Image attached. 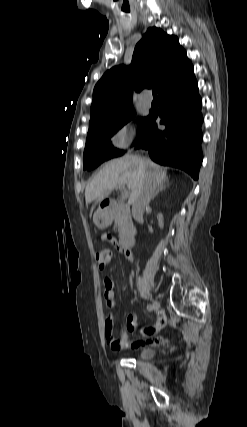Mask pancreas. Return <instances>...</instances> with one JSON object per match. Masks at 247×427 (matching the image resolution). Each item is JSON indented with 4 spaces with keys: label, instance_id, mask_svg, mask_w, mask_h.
Listing matches in <instances>:
<instances>
[{
    "label": "pancreas",
    "instance_id": "pancreas-1",
    "mask_svg": "<svg viewBox=\"0 0 247 427\" xmlns=\"http://www.w3.org/2000/svg\"><path fill=\"white\" fill-rule=\"evenodd\" d=\"M113 215L115 224L118 226L119 236H125L130 225L129 213L122 208H117L114 210Z\"/></svg>",
    "mask_w": 247,
    "mask_h": 427
}]
</instances>
